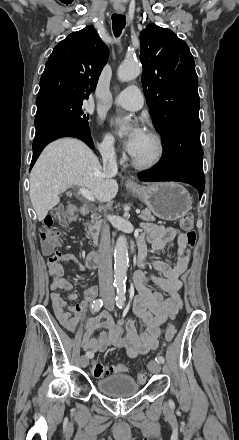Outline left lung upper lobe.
Returning <instances> with one entry per match:
<instances>
[{
    "label": "left lung upper lobe",
    "instance_id": "obj_1",
    "mask_svg": "<svg viewBox=\"0 0 239 440\" xmlns=\"http://www.w3.org/2000/svg\"><path fill=\"white\" fill-rule=\"evenodd\" d=\"M140 44L142 85L161 137L177 122L199 120L198 78L186 42L169 29L149 24Z\"/></svg>",
    "mask_w": 239,
    "mask_h": 440
}]
</instances>
